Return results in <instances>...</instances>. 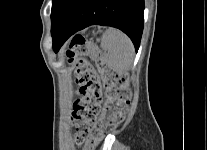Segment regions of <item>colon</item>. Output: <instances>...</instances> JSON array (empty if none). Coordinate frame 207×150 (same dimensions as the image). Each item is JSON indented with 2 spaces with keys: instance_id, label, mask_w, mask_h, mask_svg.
<instances>
[{
  "instance_id": "obj_1",
  "label": "colon",
  "mask_w": 207,
  "mask_h": 150,
  "mask_svg": "<svg viewBox=\"0 0 207 150\" xmlns=\"http://www.w3.org/2000/svg\"><path fill=\"white\" fill-rule=\"evenodd\" d=\"M66 56L73 63V71L80 86L81 98L75 101L72 122L75 142L92 149L108 133L124 121L131 103L129 78L114 69L101 55L98 48L87 38L76 36L71 41ZM92 58L99 69L85 58ZM101 77L106 88L102 95Z\"/></svg>"
}]
</instances>
